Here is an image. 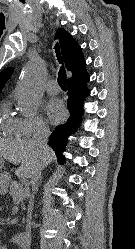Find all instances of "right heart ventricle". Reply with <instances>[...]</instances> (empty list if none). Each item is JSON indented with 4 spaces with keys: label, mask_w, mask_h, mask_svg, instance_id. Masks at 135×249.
I'll list each match as a JSON object with an SVG mask.
<instances>
[{
    "label": "right heart ventricle",
    "mask_w": 135,
    "mask_h": 249,
    "mask_svg": "<svg viewBox=\"0 0 135 249\" xmlns=\"http://www.w3.org/2000/svg\"><path fill=\"white\" fill-rule=\"evenodd\" d=\"M0 134L8 138H16L20 135L16 119L10 114L8 104H4L0 112Z\"/></svg>",
    "instance_id": "e07e8e85"
}]
</instances>
